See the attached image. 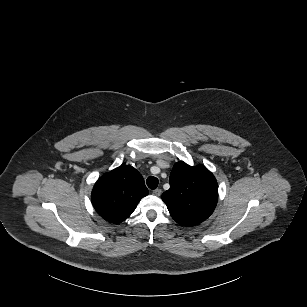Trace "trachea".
Returning a JSON list of instances; mask_svg holds the SVG:
<instances>
[{
    "mask_svg": "<svg viewBox=\"0 0 307 307\" xmlns=\"http://www.w3.org/2000/svg\"><path fill=\"white\" fill-rule=\"evenodd\" d=\"M158 179L156 177L150 176L146 180V184L150 189H156L158 186Z\"/></svg>",
    "mask_w": 307,
    "mask_h": 307,
    "instance_id": "3493384b",
    "label": "trachea"
}]
</instances>
